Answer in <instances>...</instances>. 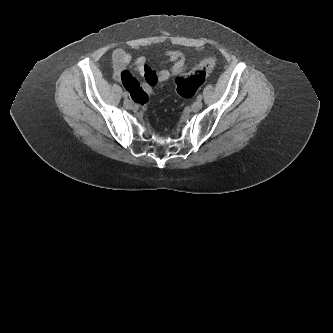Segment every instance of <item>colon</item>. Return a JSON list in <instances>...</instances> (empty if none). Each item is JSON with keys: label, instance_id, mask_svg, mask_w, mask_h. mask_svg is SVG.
I'll use <instances>...</instances> for the list:
<instances>
[{"label": "colon", "instance_id": "obj_1", "mask_svg": "<svg viewBox=\"0 0 333 333\" xmlns=\"http://www.w3.org/2000/svg\"><path fill=\"white\" fill-rule=\"evenodd\" d=\"M216 60L208 58L202 61L189 75L177 77L174 81L176 92L184 98L192 97L205 82L207 74L215 67Z\"/></svg>", "mask_w": 333, "mask_h": 333}]
</instances>
